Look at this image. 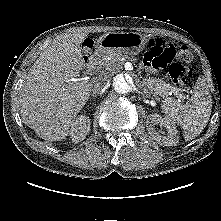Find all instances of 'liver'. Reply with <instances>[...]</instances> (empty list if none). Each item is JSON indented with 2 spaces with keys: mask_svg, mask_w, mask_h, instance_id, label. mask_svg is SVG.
<instances>
[{
  "mask_svg": "<svg viewBox=\"0 0 221 221\" xmlns=\"http://www.w3.org/2000/svg\"><path fill=\"white\" fill-rule=\"evenodd\" d=\"M85 31L58 36L32 65L22 85L23 121L43 139L59 141L89 99L96 81L78 78L83 69Z\"/></svg>",
  "mask_w": 221,
  "mask_h": 221,
  "instance_id": "liver-1",
  "label": "liver"
}]
</instances>
